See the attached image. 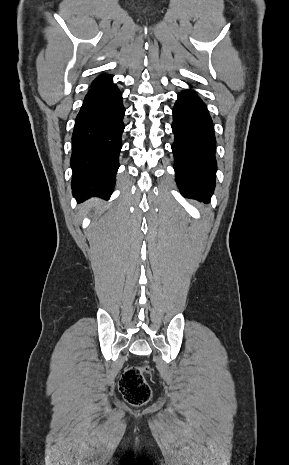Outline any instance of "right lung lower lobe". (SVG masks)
<instances>
[{"mask_svg":"<svg viewBox=\"0 0 289 465\" xmlns=\"http://www.w3.org/2000/svg\"><path fill=\"white\" fill-rule=\"evenodd\" d=\"M125 109L112 79L93 85L77 115L72 135V193L78 202L108 199L119 168Z\"/></svg>","mask_w":289,"mask_h":465,"instance_id":"1","label":"right lung lower lobe"}]
</instances>
